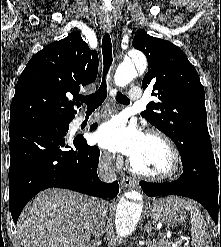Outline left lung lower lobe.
Instances as JSON below:
<instances>
[{"label": "left lung lower lobe", "instance_id": "1", "mask_svg": "<svg viewBox=\"0 0 221 247\" xmlns=\"http://www.w3.org/2000/svg\"><path fill=\"white\" fill-rule=\"evenodd\" d=\"M183 173L176 180L165 183L139 182L150 197L179 195L201 203L217 223L221 224V167L215 166L211 141L199 142L194 149L181 156Z\"/></svg>", "mask_w": 221, "mask_h": 247}]
</instances>
